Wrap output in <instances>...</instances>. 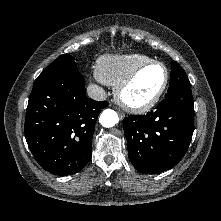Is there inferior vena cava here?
<instances>
[{
    "label": "inferior vena cava",
    "instance_id": "inferior-vena-cava-1",
    "mask_svg": "<svg viewBox=\"0 0 221 221\" xmlns=\"http://www.w3.org/2000/svg\"><path fill=\"white\" fill-rule=\"evenodd\" d=\"M87 94L91 99L94 100H105L107 98L105 90L95 84H91L87 87Z\"/></svg>",
    "mask_w": 221,
    "mask_h": 221
}]
</instances>
